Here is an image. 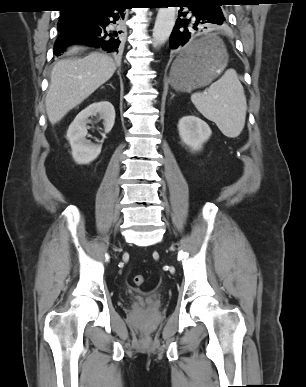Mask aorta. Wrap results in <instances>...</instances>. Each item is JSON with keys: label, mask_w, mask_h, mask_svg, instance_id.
<instances>
[{"label": "aorta", "mask_w": 306, "mask_h": 387, "mask_svg": "<svg viewBox=\"0 0 306 387\" xmlns=\"http://www.w3.org/2000/svg\"><path fill=\"white\" fill-rule=\"evenodd\" d=\"M176 7H160L153 28V45H163L175 25Z\"/></svg>", "instance_id": "762f6f07"}]
</instances>
